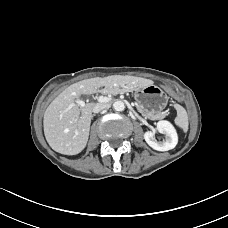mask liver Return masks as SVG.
Here are the masks:
<instances>
[{"label":"liver","mask_w":228,"mask_h":228,"mask_svg":"<svg viewBox=\"0 0 228 228\" xmlns=\"http://www.w3.org/2000/svg\"><path fill=\"white\" fill-rule=\"evenodd\" d=\"M153 85V81L128 75L95 77L76 82L63 90L47 107L43 127L49 146L64 155H76L87 144L94 103L84 107L71 106L81 95L99 91L103 94H119Z\"/></svg>","instance_id":"liver-1"}]
</instances>
